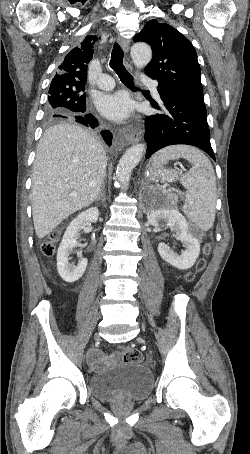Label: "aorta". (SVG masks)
<instances>
[{
  "mask_svg": "<svg viewBox=\"0 0 250 454\" xmlns=\"http://www.w3.org/2000/svg\"><path fill=\"white\" fill-rule=\"evenodd\" d=\"M131 57L134 65L143 69L152 58V50L146 43H135L131 48ZM145 152L144 144H136L128 148L117 165L116 176L122 185L130 181L132 170L138 165Z\"/></svg>",
  "mask_w": 250,
  "mask_h": 454,
  "instance_id": "1",
  "label": "aorta"
}]
</instances>
